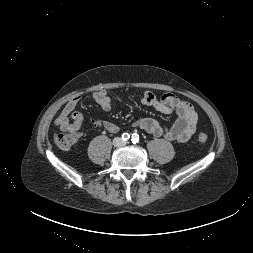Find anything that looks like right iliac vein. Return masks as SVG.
I'll return each mask as SVG.
<instances>
[{"label":"right iliac vein","mask_w":253,"mask_h":253,"mask_svg":"<svg viewBox=\"0 0 253 253\" xmlns=\"http://www.w3.org/2000/svg\"><path fill=\"white\" fill-rule=\"evenodd\" d=\"M113 143L115 146H119L121 144V141L120 139H115Z\"/></svg>","instance_id":"63e3f726"}]
</instances>
